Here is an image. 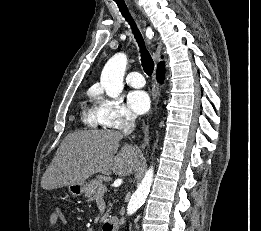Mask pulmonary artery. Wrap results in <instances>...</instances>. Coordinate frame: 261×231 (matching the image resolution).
Segmentation results:
<instances>
[{"label": "pulmonary artery", "mask_w": 261, "mask_h": 231, "mask_svg": "<svg viewBox=\"0 0 261 231\" xmlns=\"http://www.w3.org/2000/svg\"><path fill=\"white\" fill-rule=\"evenodd\" d=\"M126 82L128 85L134 88H141L145 85V79L143 75L138 71L130 72L126 77Z\"/></svg>", "instance_id": "1"}]
</instances>
